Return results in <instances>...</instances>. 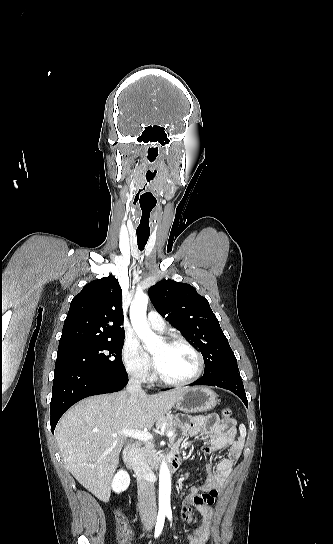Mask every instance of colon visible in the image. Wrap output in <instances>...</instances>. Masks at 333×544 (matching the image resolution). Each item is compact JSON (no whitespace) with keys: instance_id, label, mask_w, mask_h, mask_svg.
Wrapping results in <instances>:
<instances>
[{"instance_id":"1","label":"colon","mask_w":333,"mask_h":544,"mask_svg":"<svg viewBox=\"0 0 333 544\" xmlns=\"http://www.w3.org/2000/svg\"><path fill=\"white\" fill-rule=\"evenodd\" d=\"M221 416L224 420L230 421L232 416V409L224 408L221 412ZM115 517L118 539L121 544H126L130 540V530L128 528L126 519L120 511H116Z\"/></svg>"}]
</instances>
